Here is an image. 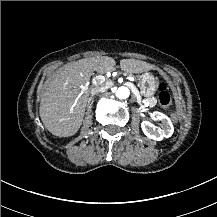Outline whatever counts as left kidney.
<instances>
[{
  "label": "left kidney",
  "instance_id": "5707ae66",
  "mask_svg": "<svg viewBox=\"0 0 217 217\" xmlns=\"http://www.w3.org/2000/svg\"><path fill=\"white\" fill-rule=\"evenodd\" d=\"M154 120L161 121L160 127L155 126L149 121H143L141 128L143 133L150 139L160 141L164 137L169 138L174 132L173 124L168 116L165 114L155 111Z\"/></svg>",
  "mask_w": 217,
  "mask_h": 217
}]
</instances>
